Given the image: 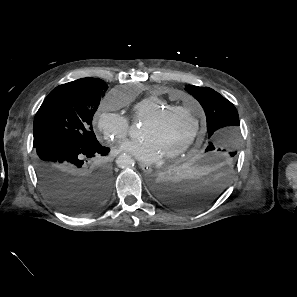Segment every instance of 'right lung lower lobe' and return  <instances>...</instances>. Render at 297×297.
I'll return each instance as SVG.
<instances>
[{"instance_id":"98d812e1","label":"right lung lower lobe","mask_w":297,"mask_h":297,"mask_svg":"<svg viewBox=\"0 0 297 297\" xmlns=\"http://www.w3.org/2000/svg\"><path fill=\"white\" fill-rule=\"evenodd\" d=\"M34 147L40 185L54 206L71 215H85L104 204L111 173L104 164L91 166L88 162L107 155L109 148L80 146L65 139L42 141Z\"/></svg>"}]
</instances>
